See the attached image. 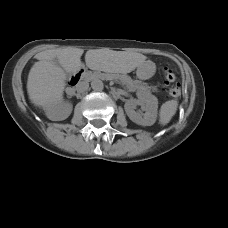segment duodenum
Here are the masks:
<instances>
[{"instance_id": "410a0bca", "label": "duodenum", "mask_w": 228, "mask_h": 228, "mask_svg": "<svg viewBox=\"0 0 228 228\" xmlns=\"http://www.w3.org/2000/svg\"><path fill=\"white\" fill-rule=\"evenodd\" d=\"M87 76V71H82L79 74H77L76 76H74L71 81L70 84L72 87L77 86L84 78H86Z\"/></svg>"}]
</instances>
